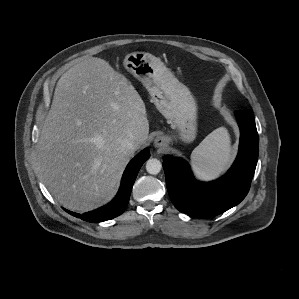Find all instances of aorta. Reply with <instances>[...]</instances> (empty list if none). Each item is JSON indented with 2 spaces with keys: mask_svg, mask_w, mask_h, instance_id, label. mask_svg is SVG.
<instances>
[{
  "mask_svg": "<svg viewBox=\"0 0 299 299\" xmlns=\"http://www.w3.org/2000/svg\"><path fill=\"white\" fill-rule=\"evenodd\" d=\"M162 164L156 158H150L146 162V170L149 174L156 175L161 171Z\"/></svg>",
  "mask_w": 299,
  "mask_h": 299,
  "instance_id": "1",
  "label": "aorta"
}]
</instances>
